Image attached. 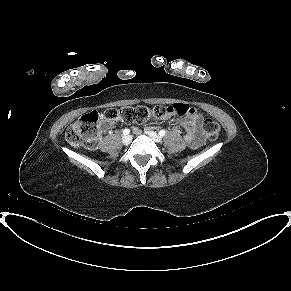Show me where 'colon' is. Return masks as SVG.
Segmentation results:
<instances>
[{"label": "colon", "mask_w": 291, "mask_h": 291, "mask_svg": "<svg viewBox=\"0 0 291 291\" xmlns=\"http://www.w3.org/2000/svg\"><path fill=\"white\" fill-rule=\"evenodd\" d=\"M187 104H173L170 106H159L152 111L145 106H126L121 109L110 108L102 115L108 121L121 120L126 123L142 124L151 115L164 118L169 115H184L189 111ZM101 116L96 111H91L79 118L66 133V140L74 147L94 148L98 140V122ZM203 132L209 141H214L220 133L219 125L212 119H205Z\"/></svg>", "instance_id": "obj_1"}]
</instances>
